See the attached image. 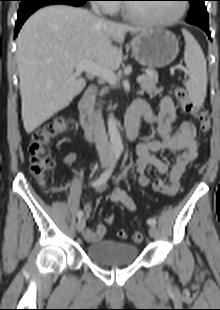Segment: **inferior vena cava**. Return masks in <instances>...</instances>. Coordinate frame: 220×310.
Instances as JSON below:
<instances>
[{
    "mask_svg": "<svg viewBox=\"0 0 220 310\" xmlns=\"http://www.w3.org/2000/svg\"><path fill=\"white\" fill-rule=\"evenodd\" d=\"M92 9L96 15L101 16L98 4L93 3ZM93 135H94V140H95L98 154L101 157L111 156L113 153V150H112L111 144L108 141V137L106 134L104 121H103L101 113H98L95 117V120L93 123Z\"/></svg>",
    "mask_w": 220,
    "mask_h": 310,
    "instance_id": "inferior-vena-cava-1",
    "label": "inferior vena cava"
}]
</instances>
